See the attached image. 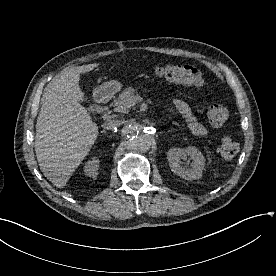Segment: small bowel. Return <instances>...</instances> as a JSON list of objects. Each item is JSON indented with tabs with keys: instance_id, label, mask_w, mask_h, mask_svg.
<instances>
[{
	"instance_id": "small-bowel-1",
	"label": "small bowel",
	"mask_w": 276,
	"mask_h": 276,
	"mask_svg": "<svg viewBox=\"0 0 276 276\" xmlns=\"http://www.w3.org/2000/svg\"><path fill=\"white\" fill-rule=\"evenodd\" d=\"M170 107L173 112L179 114L185 120L188 128L193 134L204 136L208 133L207 128L197 120L189 105L185 101L181 99H174L172 100Z\"/></svg>"
}]
</instances>
